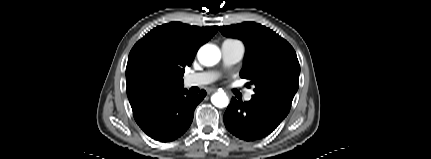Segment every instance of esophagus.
<instances>
[{
  "label": "esophagus",
  "instance_id": "34e87169",
  "mask_svg": "<svg viewBox=\"0 0 431 159\" xmlns=\"http://www.w3.org/2000/svg\"><path fill=\"white\" fill-rule=\"evenodd\" d=\"M215 91V89L214 88H209L208 90H207V93L208 94H210V93H212V92H214Z\"/></svg>",
  "mask_w": 431,
  "mask_h": 159
}]
</instances>
